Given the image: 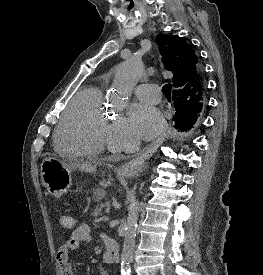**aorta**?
<instances>
[{
	"label": "aorta",
	"instance_id": "762f6f07",
	"mask_svg": "<svg viewBox=\"0 0 263 275\" xmlns=\"http://www.w3.org/2000/svg\"><path fill=\"white\" fill-rule=\"evenodd\" d=\"M142 74V64L136 58H130L119 64L112 83L111 98L119 102L128 99ZM138 216L139 202L138 200H135L133 206L129 208L127 217L120 264L122 275H130L131 273V263L135 249Z\"/></svg>",
	"mask_w": 263,
	"mask_h": 275
}]
</instances>
